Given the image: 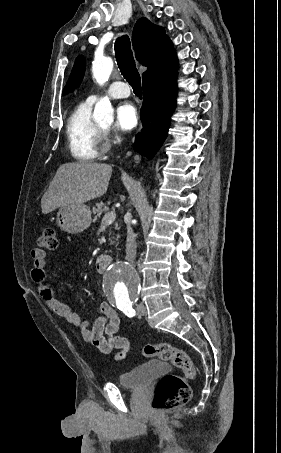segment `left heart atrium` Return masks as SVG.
Segmentation results:
<instances>
[{
	"label": "left heart atrium",
	"instance_id": "obj_1",
	"mask_svg": "<svg viewBox=\"0 0 281 453\" xmlns=\"http://www.w3.org/2000/svg\"><path fill=\"white\" fill-rule=\"evenodd\" d=\"M137 109L129 102L121 103L116 113V125L124 130H131L138 124Z\"/></svg>",
	"mask_w": 281,
	"mask_h": 453
}]
</instances>
